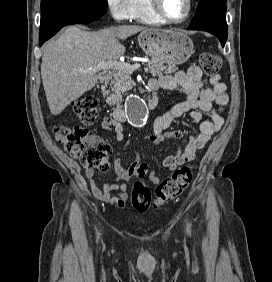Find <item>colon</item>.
<instances>
[{"mask_svg":"<svg viewBox=\"0 0 272 282\" xmlns=\"http://www.w3.org/2000/svg\"><path fill=\"white\" fill-rule=\"evenodd\" d=\"M199 63L204 72L209 75L218 74L221 68L220 59L211 53H202ZM72 109L79 118L80 124L56 125L53 129L56 141L85 169L107 171L109 146L103 140L92 138L89 135V129L97 119V101L92 97L79 98L73 102ZM142 171V169L136 171L133 169V174L139 177ZM192 178L191 166L177 169L156 187L154 199H152L149 188L137 179L131 191L132 205L138 212H146L150 208L159 209L178 197L191 184Z\"/></svg>","mask_w":272,"mask_h":282,"instance_id":"5ec220e1","label":"colon"}]
</instances>
